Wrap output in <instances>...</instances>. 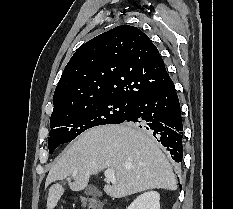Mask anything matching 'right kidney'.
<instances>
[{"label":"right kidney","instance_id":"obj_1","mask_svg":"<svg viewBox=\"0 0 233 209\" xmlns=\"http://www.w3.org/2000/svg\"><path fill=\"white\" fill-rule=\"evenodd\" d=\"M127 209H160V196L156 191H149L138 196Z\"/></svg>","mask_w":233,"mask_h":209}]
</instances>
